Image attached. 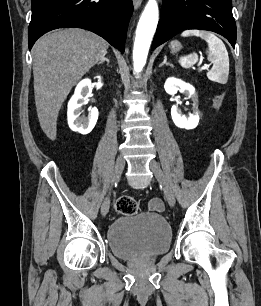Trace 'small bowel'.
Masks as SVG:
<instances>
[{
	"label": "small bowel",
	"instance_id": "1",
	"mask_svg": "<svg viewBox=\"0 0 261 306\" xmlns=\"http://www.w3.org/2000/svg\"><path fill=\"white\" fill-rule=\"evenodd\" d=\"M149 208L152 210L160 211L163 209V203L160 199H152L149 203Z\"/></svg>",
	"mask_w": 261,
	"mask_h": 306
}]
</instances>
